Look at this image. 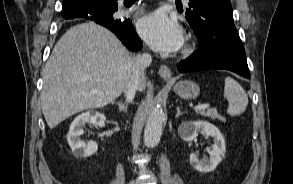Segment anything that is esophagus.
I'll use <instances>...</instances> for the list:
<instances>
[{"mask_svg":"<svg viewBox=\"0 0 293 184\" xmlns=\"http://www.w3.org/2000/svg\"><path fill=\"white\" fill-rule=\"evenodd\" d=\"M159 75L165 79V80H170L172 77L171 70L168 66L166 65H161L158 71Z\"/></svg>","mask_w":293,"mask_h":184,"instance_id":"34e87169","label":"esophagus"}]
</instances>
